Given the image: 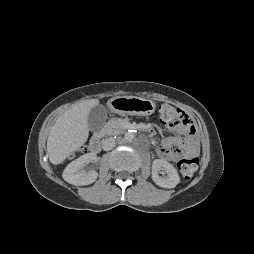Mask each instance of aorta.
Segmentation results:
<instances>
[{"label":"aorta","instance_id":"obj_1","mask_svg":"<svg viewBox=\"0 0 254 254\" xmlns=\"http://www.w3.org/2000/svg\"><path fill=\"white\" fill-rule=\"evenodd\" d=\"M124 139L128 142H131L133 141L134 139V133L129 131V132H126L125 135H124Z\"/></svg>","mask_w":254,"mask_h":254}]
</instances>
